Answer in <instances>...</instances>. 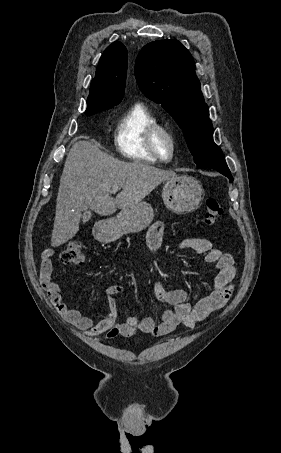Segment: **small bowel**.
I'll use <instances>...</instances> for the list:
<instances>
[{
    "mask_svg": "<svg viewBox=\"0 0 281 453\" xmlns=\"http://www.w3.org/2000/svg\"><path fill=\"white\" fill-rule=\"evenodd\" d=\"M164 224L157 221L152 224L147 233V249L155 254L163 243ZM181 250H190L196 254H205L206 261L213 264L218 270L216 284L211 294L194 305L187 301L188 293L185 289L166 290L159 280L154 281L152 288L155 298L162 304L172 307L167 309L161 319L151 317H130L125 322L118 321V305L116 295L123 292L120 284L109 285L105 290V297L109 303V314L100 320L81 314L64 300L62 290L52 281V250L41 256L40 281L55 303H59V310L64 318L78 330L86 332L88 336L106 334L111 339L116 336L132 338L137 332H144L154 337L169 334L179 325L194 326L199 324L209 313L222 309L229 301L236 279V270L230 254H223L213 249L205 238H187L180 244Z\"/></svg>",
    "mask_w": 281,
    "mask_h": 453,
    "instance_id": "obj_1",
    "label": "small bowel"
}]
</instances>
